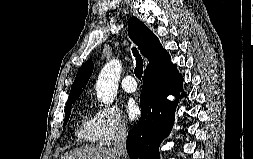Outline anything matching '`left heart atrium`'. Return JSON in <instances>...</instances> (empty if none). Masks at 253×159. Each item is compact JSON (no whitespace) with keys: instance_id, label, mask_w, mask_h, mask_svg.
Listing matches in <instances>:
<instances>
[{"instance_id":"1","label":"left heart atrium","mask_w":253,"mask_h":159,"mask_svg":"<svg viewBox=\"0 0 253 159\" xmlns=\"http://www.w3.org/2000/svg\"><path fill=\"white\" fill-rule=\"evenodd\" d=\"M125 110L128 118H130L131 120L136 119L140 113L139 106L133 100H129L126 103Z\"/></svg>"}]
</instances>
